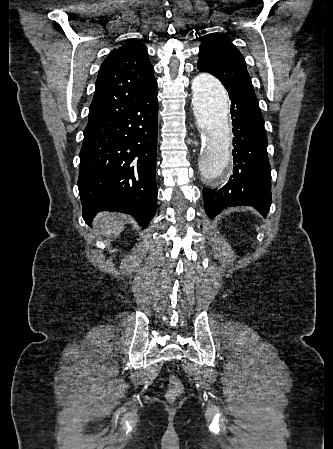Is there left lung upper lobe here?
<instances>
[{"instance_id":"obj_1","label":"left lung upper lobe","mask_w":333,"mask_h":449,"mask_svg":"<svg viewBox=\"0 0 333 449\" xmlns=\"http://www.w3.org/2000/svg\"><path fill=\"white\" fill-rule=\"evenodd\" d=\"M197 68L217 77L227 91L234 89L256 98L244 57L230 41L207 36L200 45Z\"/></svg>"}]
</instances>
